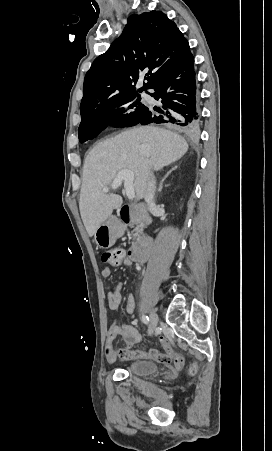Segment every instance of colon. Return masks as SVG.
Listing matches in <instances>:
<instances>
[{"mask_svg": "<svg viewBox=\"0 0 272 451\" xmlns=\"http://www.w3.org/2000/svg\"><path fill=\"white\" fill-rule=\"evenodd\" d=\"M101 258V257H100ZM103 260L111 261L110 265L112 268H119L121 265V260L124 258V252L122 249L117 248L112 251H106L102 255ZM139 352V351H138ZM161 362L166 364L167 367H176V358H169L167 355L163 354L161 356Z\"/></svg>", "mask_w": 272, "mask_h": 451, "instance_id": "5ec220e1", "label": "colon"}]
</instances>
